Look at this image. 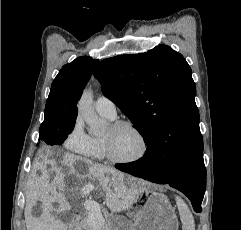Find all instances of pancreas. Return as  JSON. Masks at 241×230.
<instances>
[{
    "instance_id": "pancreas-1",
    "label": "pancreas",
    "mask_w": 241,
    "mask_h": 230,
    "mask_svg": "<svg viewBox=\"0 0 241 230\" xmlns=\"http://www.w3.org/2000/svg\"><path fill=\"white\" fill-rule=\"evenodd\" d=\"M74 230H113L110 223H103L101 226L92 225L89 222L88 211L81 220L75 225Z\"/></svg>"
}]
</instances>
